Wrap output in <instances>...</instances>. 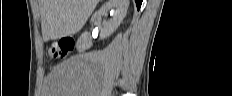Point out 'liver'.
<instances>
[{
    "label": "liver",
    "mask_w": 232,
    "mask_h": 96,
    "mask_svg": "<svg viewBox=\"0 0 232 96\" xmlns=\"http://www.w3.org/2000/svg\"><path fill=\"white\" fill-rule=\"evenodd\" d=\"M99 0H39L44 41L74 35L85 25Z\"/></svg>",
    "instance_id": "1"
}]
</instances>
